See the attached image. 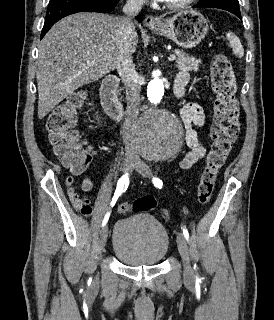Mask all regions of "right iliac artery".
Masks as SVG:
<instances>
[{
  "label": "right iliac artery",
  "mask_w": 274,
  "mask_h": 320,
  "mask_svg": "<svg viewBox=\"0 0 274 320\" xmlns=\"http://www.w3.org/2000/svg\"><path fill=\"white\" fill-rule=\"evenodd\" d=\"M128 185H129V179L127 177V175H123L118 183H117V188H116V191L114 193V196L112 198V202H111V206L113 207L114 204L116 203L118 197L121 195L122 192H125L128 188ZM109 217H110V211L107 212V214L105 215L104 219H103V222H102V226H105L106 223L108 222L109 220Z\"/></svg>",
  "instance_id": "right-iliac-artery-1"
}]
</instances>
